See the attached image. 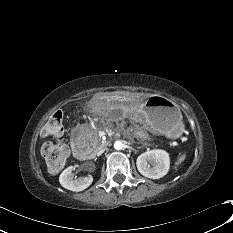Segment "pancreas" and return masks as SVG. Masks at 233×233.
Returning a JSON list of instances; mask_svg holds the SVG:
<instances>
[{"mask_svg":"<svg viewBox=\"0 0 233 233\" xmlns=\"http://www.w3.org/2000/svg\"><path fill=\"white\" fill-rule=\"evenodd\" d=\"M91 135L92 146L94 149H97L100 146V140L98 138L97 132L95 130H92ZM134 136L141 141L148 139V134L143 128H139L138 130H136Z\"/></svg>","mask_w":233,"mask_h":233,"instance_id":"cf45deb5","label":"pancreas"}]
</instances>
